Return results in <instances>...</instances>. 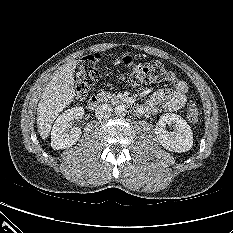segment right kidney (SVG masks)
Segmentation results:
<instances>
[{
    "mask_svg": "<svg viewBox=\"0 0 233 233\" xmlns=\"http://www.w3.org/2000/svg\"><path fill=\"white\" fill-rule=\"evenodd\" d=\"M83 115L82 107H74L66 110L56 119L51 131V147L53 149L69 148L79 140L81 129L72 127L71 122L74 119H82Z\"/></svg>",
    "mask_w": 233,
    "mask_h": 233,
    "instance_id": "obj_1",
    "label": "right kidney"
}]
</instances>
